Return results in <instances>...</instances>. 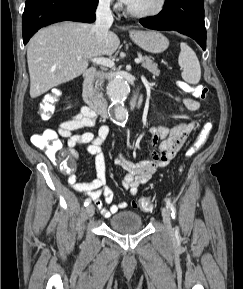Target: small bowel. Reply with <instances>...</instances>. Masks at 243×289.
Returning a JSON list of instances; mask_svg holds the SVG:
<instances>
[{"instance_id": "1", "label": "small bowel", "mask_w": 243, "mask_h": 289, "mask_svg": "<svg viewBox=\"0 0 243 289\" xmlns=\"http://www.w3.org/2000/svg\"><path fill=\"white\" fill-rule=\"evenodd\" d=\"M176 101L180 111L186 109L193 112L200 108V103L191 97L183 99L176 97ZM96 122L97 115L89 107L83 106L78 113L63 119L55 133L67 141L68 150L74 158H78L76 151L78 146H84L85 151L94 156L96 178L92 181L78 182L76 175L71 174L68 182L74 190L93 200L101 214L108 218L128 206L125 201L113 203L114 193L105 183L106 165L102 145L108 137L109 127L102 125L96 133L89 131L75 133L77 130L94 126ZM194 128L195 122L187 120L177 123L172 128L164 125L151 126L149 128L152 147L150 159L134 163L122 154L115 158V164L124 172L123 188L131 195H136L140 186L149 182L158 169L166 167L173 160ZM105 204L109 207L106 208Z\"/></svg>"}]
</instances>
